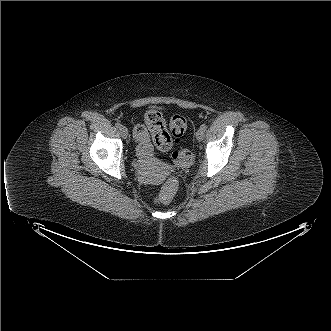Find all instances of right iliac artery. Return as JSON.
I'll return each mask as SVG.
<instances>
[{
  "label": "right iliac artery",
  "instance_id": "obj_1",
  "mask_svg": "<svg viewBox=\"0 0 331 331\" xmlns=\"http://www.w3.org/2000/svg\"><path fill=\"white\" fill-rule=\"evenodd\" d=\"M115 126H116L117 128L120 129L122 125H121L120 123L117 122V123L115 124Z\"/></svg>",
  "mask_w": 331,
  "mask_h": 331
}]
</instances>
